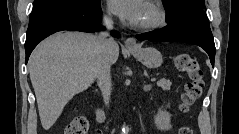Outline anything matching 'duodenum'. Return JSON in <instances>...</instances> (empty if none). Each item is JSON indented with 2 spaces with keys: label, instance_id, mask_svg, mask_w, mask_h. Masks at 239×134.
Wrapping results in <instances>:
<instances>
[{
  "label": "duodenum",
  "instance_id": "410a0bca",
  "mask_svg": "<svg viewBox=\"0 0 239 134\" xmlns=\"http://www.w3.org/2000/svg\"><path fill=\"white\" fill-rule=\"evenodd\" d=\"M104 119H105V113H104L103 109L97 108L96 109V121L103 122Z\"/></svg>",
  "mask_w": 239,
  "mask_h": 134
}]
</instances>
